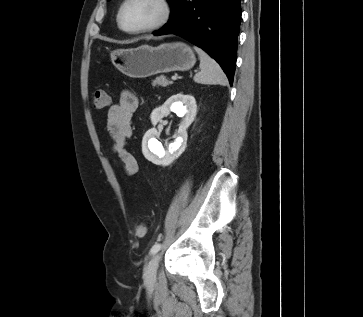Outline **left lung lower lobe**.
Returning <instances> with one entry per match:
<instances>
[{
  "instance_id": "left-lung-lower-lobe-1",
  "label": "left lung lower lobe",
  "mask_w": 363,
  "mask_h": 317,
  "mask_svg": "<svg viewBox=\"0 0 363 317\" xmlns=\"http://www.w3.org/2000/svg\"><path fill=\"white\" fill-rule=\"evenodd\" d=\"M170 4L168 23L153 34H176L204 49L220 64L232 85L240 30V0H173Z\"/></svg>"
}]
</instances>
